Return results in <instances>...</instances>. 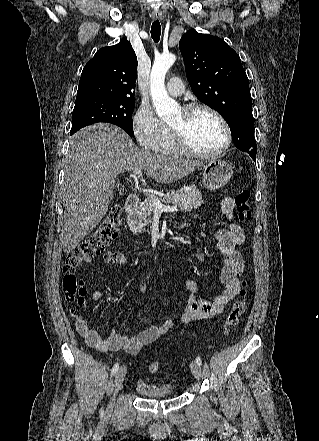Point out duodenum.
Segmentation results:
<instances>
[{"mask_svg":"<svg viewBox=\"0 0 319 441\" xmlns=\"http://www.w3.org/2000/svg\"><path fill=\"white\" fill-rule=\"evenodd\" d=\"M140 199L139 196L135 193L130 194L125 201V212H131L133 209L137 207Z\"/></svg>","mask_w":319,"mask_h":441,"instance_id":"obj_1","label":"duodenum"}]
</instances>
